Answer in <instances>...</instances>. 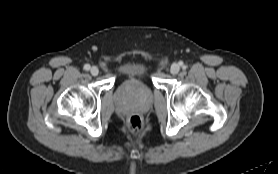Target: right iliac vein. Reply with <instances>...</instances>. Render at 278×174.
Listing matches in <instances>:
<instances>
[{
  "instance_id": "63e3f726",
  "label": "right iliac vein",
  "mask_w": 278,
  "mask_h": 174,
  "mask_svg": "<svg viewBox=\"0 0 278 174\" xmlns=\"http://www.w3.org/2000/svg\"><path fill=\"white\" fill-rule=\"evenodd\" d=\"M90 73H91V75L96 76L99 73V69L96 66H93L90 69Z\"/></svg>"
}]
</instances>
